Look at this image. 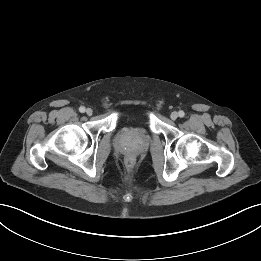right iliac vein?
Wrapping results in <instances>:
<instances>
[{
	"mask_svg": "<svg viewBox=\"0 0 261 261\" xmlns=\"http://www.w3.org/2000/svg\"><path fill=\"white\" fill-rule=\"evenodd\" d=\"M92 113H93V110H92L91 108H87V109H86V114H87L88 116H91Z\"/></svg>",
	"mask_w": 261,
	"mask_h": 261,
	"instance_id": "right-iliac-vein-1",
	"label": "right iliac vein"
}]
</instances>
